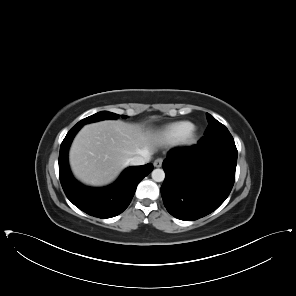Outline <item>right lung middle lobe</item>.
Wrapping results in <instances>:
<instances>
[{
  "label": "right lung middle lobe",
  "instance_id": "1",
  "mask_svg": "<svg viewBox=\"0 0 296 296\" xmlns=\"http://www.w3.org/2000/svg\"><path fill=\"white\" fill-rule=\"evenodd\" d=\"M117 117H118V115L115 113L102 111V112L96 113L94 115H91V116L79 121L76 124V126L82 127L83 125H85L87 123L96 122V121L105 120V119H116ZM122 117L126 118L127 116L122 115Z\"/></svg>",
  "mask_w": 296,
  "mask_h": 296
}]
</instances>
